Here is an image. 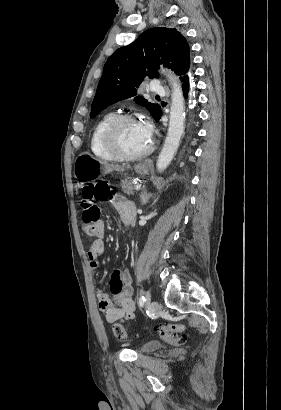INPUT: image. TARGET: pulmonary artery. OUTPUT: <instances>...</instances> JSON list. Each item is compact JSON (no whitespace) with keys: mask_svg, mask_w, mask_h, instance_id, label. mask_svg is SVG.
<instances>
[{"mask_svg":"<svg viewBox=\"0 0 281 410\" xmlns=\"http://www.w3.org/2000/svg\"><path fill=\"white\" fill-rule=\"evenodd\" d=\"M150 90L155 94L165 93V88L156 80L152 81Z\"/></svg>","mask_w":281,"mask_h":410,"instance_id":"pulmonary-artery-1","label":"pulmonary artery"}]
</instances>
